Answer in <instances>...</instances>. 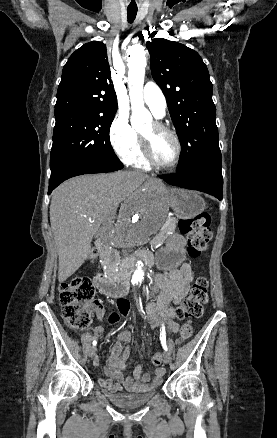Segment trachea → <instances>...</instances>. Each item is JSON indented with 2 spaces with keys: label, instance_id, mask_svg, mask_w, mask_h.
Wrapping results in <instances>:
<instances>
[{
  "label": "trachea",
  "instance_id": "trachea-1",
  "mask_svg": "<svg viewBox=\"0 0 277 438\" xmlns=\"http://www.w3.org/2000/svg\"><path fill=\"white\" fill-rule=\"evenodd\" d=\"M137 11H138L137 7L127 8V18L129 23H132L135 20Z\"/></svg>",
  "mask_w": 277,
  "mask_h": 438
}]
</instances>
